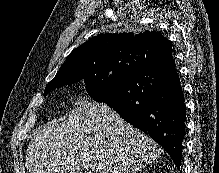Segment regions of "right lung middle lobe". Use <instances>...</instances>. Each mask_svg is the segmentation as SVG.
Returning <instances> with one entry per match:
<instances>
[{
    "label": "right lung middle lobe",
    "mask_w": 219,
    "mask_h": 173,
    "mask_svg": "<svg viewBox=\"0 0 219 173\" xmlns=\"http://www.w3.org/2000/svg\"><path fill=\"white\" fill-rule=\"evenodd\" d=\"M136 66L132 63H115L102 65L87 74L63 73L51 85L46 86L45 94L52 89L63 87L83 80L88 94L97 102H105L121 79L131 73Z\"/></svg>",
    "instance_id": "1"
}]
</instances>
